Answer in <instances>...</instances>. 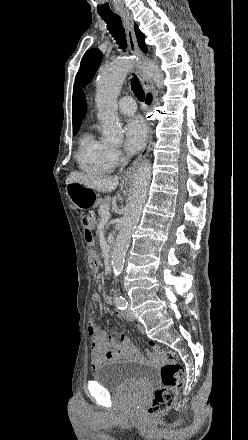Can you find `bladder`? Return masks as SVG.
Returning a JSON list of instances; mask_svg holds the SVG:
<instances>
[{
  "label": "bladder",
  "mask_w": 248,
  "mask_h": 440,
  "mask_svg": "<svg viewBox=\"0 0 248 440\" xmlns=\"http://www.w3.org/2000/svg\"><path fill=\"white\" fill-rule=\"evenodd\" d=\"M92 375L94 381L109 391H146L153 383L155 371L133 360H113L96 367Z\"/></svg>",
  "instance_id": "obj_1"
}]
</instances>
